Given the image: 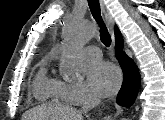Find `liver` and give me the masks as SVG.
<instances>
[{
  "label": "liver",
  "mask_w": 165,
  "mask_h": 120,
  "mask_svg": "<svg viewBox=\"0 0 165 120\" xmlns=\"http://www.w3.org/2000/svg\"><path fill=\"white\" fill-rule=\"evenodd\" d=\"M49 116H55L60 120H83L81 112L68 105H59L56 108L40 106L27 111L23 120H41Z\"/></svg>",
  "instance_id": "liver-1"
}]
</instances>
